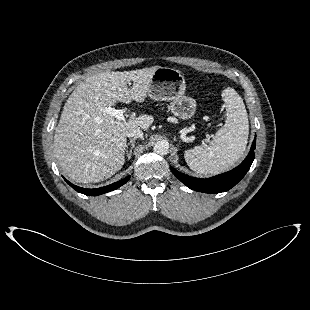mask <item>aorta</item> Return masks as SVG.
Returning <instances> with one entry per match:
<instances>
[{
	"label": "aorta",
	"mask_w": 310,
	"mask_h": 310,
	"mask_svg": "<svg viewBox=\"0 0 310 310\" xmlns=\"http://www.w3.org/2000/svg\"><path fill=\"white\" fill-rule=\"evenodd\" d=\"M154 152L160 155H166L169 152V144L167 141H158L154 144Z\"/></svg>",
	"instance_id": "1"
}]
</instances>
